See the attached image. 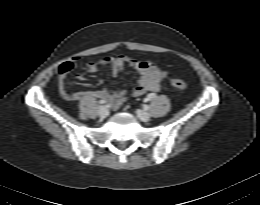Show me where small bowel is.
<instances>
[{
	"mask_svg": "<svg viewBox=\"0 0 260 205\" xmlns=\"http://www.w3.org/2000/svg\"><path fill=\"white\" fill-rule=\"evenodd\" d=\"M79 58L73 57L62 63L57 74V82L60 94L63 99L78 100L84 96H92L106 99L112 109H117L125 101L127 92L125 90L110 91L108 89H99L88 92H74L67 90V75L73 70L78 63ZM128 66L140 74L138 84L131 90V95L138 97L146 92H157L161 89L162 81L166 78V72L148 60H138L131 56L119 54L117 56H105L97 61L85 63L88 72L95 73L102 68L108 67L114 76H118L123 68Z\"/></svg>",
	"mask_w": 260,
	"mask_h": 205,
	"instance_id": "small-bowel-1",
	"label": "small bowel"
}]
</instances>
